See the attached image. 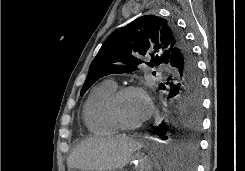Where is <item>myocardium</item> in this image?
Masks as SVG:
<instances>
[{
	"label": "myocardium",
	"instance_id": "1",
	"mask_svg": "<svg viewBox=\"0 0 245 171\" xmlns=\"http://www.w3.org/2000/svg\"><path fill=\"white\" fill-rule=\"evenodd\" d=\"M128 93H138L148 99L146 91L136 85H127L116 89L109 99V113L116 125L123 130H136L143 126V123L130 124L123 120L119 111V104L122 97Z\"/></svg>",
	"mask_w": 245,
	"mask_h": 171
}]
</instances>
